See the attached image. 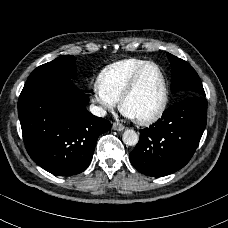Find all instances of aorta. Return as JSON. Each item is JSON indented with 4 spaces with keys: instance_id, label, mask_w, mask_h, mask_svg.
I'll use <instances>...</instances> for the list:
<instances>
[{
    "instance_id": "762f6f07",
    "label": "aorta",
    "mask_w": 228,
    "mask_h": 228,
    "mask_svg": "<svg viewBox=\"0 0 228 228\" xmlns=\"http://www.w3.org/2000/svg\"><path fill=\"white\" fill-rule=\"evenodd\" d=\"M122 139H123V142L126 145L134 146V145H136L138 143L139 136L134 130L127 129V130L124 131Z\"/></svg>"
}]
</instances>
